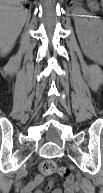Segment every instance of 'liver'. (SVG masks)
Segmentation results:
<instances>
[{"mask_svg": "<svg viewBox=\"0 0 103 193\" xmlns=\"http://www.w3.org/2000/svg\"><path fill=\"white\" fill-rule=\"evenodd\" d=\"M21 6V0L1 1V52L8 54L27 20L28 13Z\"/></svg>", "mask_w": 103, "mask_h": 193, "instance_id": "1", "label": "liver"}]
</instances>
